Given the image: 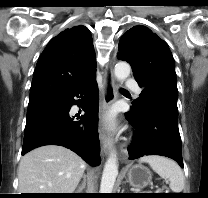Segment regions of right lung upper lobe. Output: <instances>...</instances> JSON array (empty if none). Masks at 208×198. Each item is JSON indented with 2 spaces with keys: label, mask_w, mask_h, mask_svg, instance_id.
<instances>
[{
  "label": "right lung upper lobe",
  "mask_w": 208,
  "mask_h": 198,
  "mask_svg": "<svg viewBox=\"0 0 208 198\" xmlns=\"http://www.w3.org/2000/svg\"><path fill=\"white\" fill-rule=\"evenodd\" d=\"M96 58L90 31L83 25L55 36L38 59L29 103L61 96L95 75Z\"/></svg>",
  "instance_id": "1"
}]
</instances>
